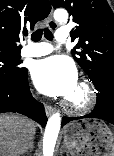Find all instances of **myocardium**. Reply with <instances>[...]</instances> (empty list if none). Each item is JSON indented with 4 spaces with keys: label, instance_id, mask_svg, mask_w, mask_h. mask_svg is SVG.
Listing matches in <instances>:
<instances>
[{
    "label": "myocardium",
    "instance_id": "obj_1",
    "mask_svg": "<svg viewBox=\"0 0 114 156\" xmlns=\"http://www.w3.org/2000/svg\"><path fill=\"white\" fill-rule=\"evenodd\" d=\"M77 86L83 92V100L79 103L73 102L67 98L65 101V107L71 114H82L91 110L96 104V92L94 87L87 80H81Z\"/></svg>",
    "mask_w": 114,
    "mask_h": 156
}]
</instances>
